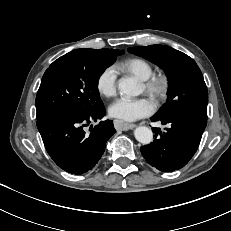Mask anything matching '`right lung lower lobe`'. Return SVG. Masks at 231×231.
Segmentation results:
<instances>
[{
    "label": "right lung lower lobe",
    "mask_w": 231,
    "mask_h": 231,
    "mask_svg": "<svg viewBox=\"0 0 231 231\" xmlns=\"http://www.w3.org/2000/svg\"><path fill=\"white\" fill-rule=\"evenodd\" d=\"M104 115L103 106L85 115L60 113L37 120L45 148L61 169L78 175L97 164L116 130L111 120L101 121L95 127L90 125L89 131L86 127Z\"/></svg>",
    "instance_id": "1"
}]
</instances>
